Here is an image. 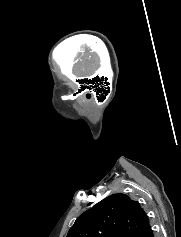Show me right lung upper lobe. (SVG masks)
<instances>
[{"label":"right lung upper lobe","mask_w":181,"mask_h":237,"mask_svg":"<svg viewBox=\"0 0 181 237\" xmlns=\"http://www.w3.org/2000/svg\"><path fill=\"white\" fill-rule=\"evenodd\" d=\"M67 237H153V231L139 202L118 193L81 214Z\"/></svg>","instance_id":"1"}]
</instances>
